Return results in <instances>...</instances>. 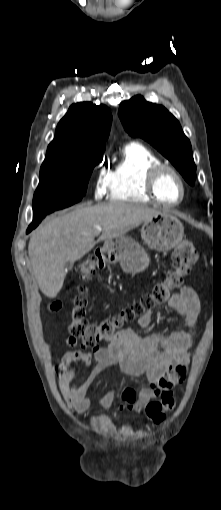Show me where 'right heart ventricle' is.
Wrapping results in <instances>:
<instances>
[{"instance_id": "1", "label": "right heart ventricle", "mask_w": 221, "mask_h": 510, "mask_svg": "<svg viewBox=\"0 0 221 510\" xmlns=\"http://www.w3.org/2000/svg\"><path fill=\"white\" fill-rule=\"evenodd\" d=\"M162 163L149 148L138 142L127 144L120 160L109 173L108 195L111 201L152 203L144 182L147 170Z\"/></svg>"}]
</instances>
